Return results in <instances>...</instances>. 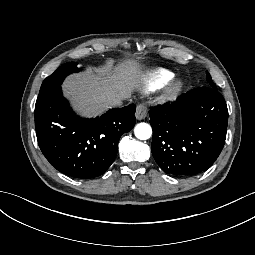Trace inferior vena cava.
<instances>
[{
  "label": "inferior vena cava",
  "instance_id": "obj_1",
  "mask_svg": "<svg viewBox=\"0 0 255 255\" xmlns=\"http://www.w3.org/2000/svg\"><path fill=\"white\" fill-rule=\"evenodd\" d=\"M124 100H125V99H123V98L115 97V98H111V99L108 101V104H109L111 107H116V106L122 105Z\"/></svg>",
  "mask_w": 255,
  "mask_h": 255
}]
</instances>
